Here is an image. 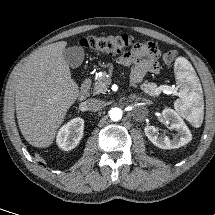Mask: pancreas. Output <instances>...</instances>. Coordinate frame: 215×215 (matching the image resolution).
Instances as JSON below:
<instances>
[{"label": "pancreas", "instance_id": "1", "mask_svg": "<svg viewBox=\"0 0 215 215\" xmlns=\"http://www.w3.org/2000/svg\"><path fill=\"white\" fill-rule=\"evenodd\" d=\"M110 81L106 78V72H102L100 76H97L95 82L93 84V94L106 93L107 85H109ZM142 90L152 96L157 95L159 93V89L156 85H150L144 83L141 86Z\"/></svg>", "mask_w": 215, "mask_h": 215}]
</instances>
